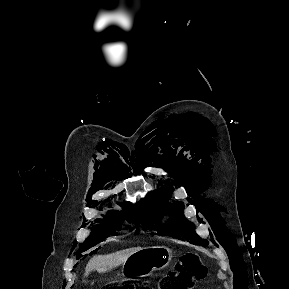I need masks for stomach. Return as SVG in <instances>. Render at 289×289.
I'll return each mask as SVG.
<instances>
[{
    "instance_id": "stomach-1",
    "label": "stomach",
    "mask_w": 289,
    "mask_h": 289,
    "mask_svg": "<svg viewBox=\"0 0 289 289\" xmlns=\"http://www.w3.org/2000/svg\"><path fill=\"white\" fill-rule=\"evenodd\" d=\"M172 259V250L166 246L142 248L130 256L122 266L128 276L145 277L155 270L166 267Z\"/></svg>"
}]
</instances>
